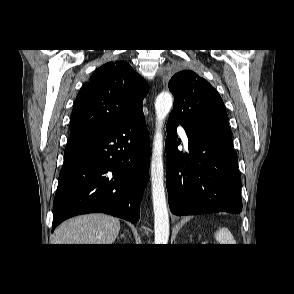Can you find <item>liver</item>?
Here are the masks:
<instances>
[{
    "instance_id": "obj_1",
    "label": "liver",
    "mask_w": 294,
    "mask_h": 294,
    "mask_svg": "<svg viewBox=\"0 0 294 294\" xmlns=\"http://www.w3.org/2000/svg\"><path fill=\"white\" fill-rule=\"evenodd\" d=\"M120 231L119 219L88 214L62 223L54 232V244H112Z\"/></svg>"
}]
</instances>
